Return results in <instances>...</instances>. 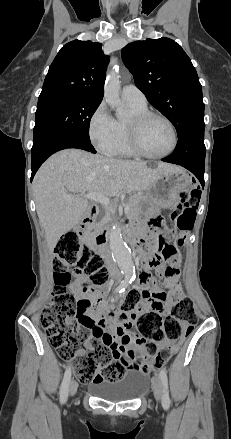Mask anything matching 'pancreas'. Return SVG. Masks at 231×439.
Returning <instances> with one entry per match:
<instances>
[{
	"instance_id": "obj_1",
	"label": "pancreas",
	"mask_w": 231,
	"mask_h": 439,
	"mask_svg": "<svg viewBox=\"0 0 231 439\" xmlns=\"http://www.w3.org/2000/svg\"><path fill=\"white\" fill-rule=\"evenodd\" d=\"M143 198L141 194L135 193L133 196L129 198L127 204L129 206V211L127 213L128 219L134 218L140 210V205ZM110 220V214L106 213L102 219V223L108 222Z\"/></svg>"
}]
</instances>
